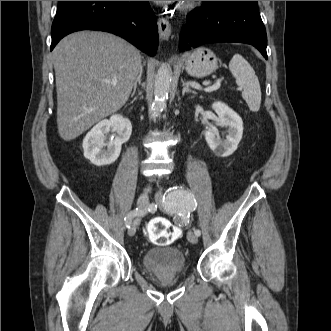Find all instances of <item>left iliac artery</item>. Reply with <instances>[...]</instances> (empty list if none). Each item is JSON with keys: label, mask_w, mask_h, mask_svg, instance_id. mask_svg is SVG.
<instances>
[{"label": "left iliac artery", "mask_w": 331, "mask_h": 331, "mask_svg": "<svg viewBox=\"0 0 331 331\" xmlns=\"http://www.w3.org/2000/svg\"><path fill=\"white\" fill-rule=\"evenodd\" d=\"M165 209L180 217L182 220H188L190 214L195 210L197 204L193 194L180 186L173 187L167 196L163 198ZM194 233L200 236V230H195Z\"/></svg>", "instance_id": "44dca946"}]
</instances>
